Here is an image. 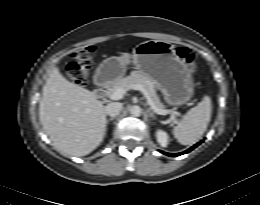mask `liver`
<instances>
[{"label": "liver", "instance_id": "obj_1", "mask_svg": "<svg viewBox=\"0 0 260 205\" xmlns=\"http://www.w3.org/2000/svg\"><path fill=\"white\" fill-rule=\"evenodd\" d=\"M43 130L62 154L85 156L105 136V106L96 95L67 81L54 68L43 86L39 104Z\"/></svg>", "mask_w": 260, "mask_h": 205}]
</instances>
